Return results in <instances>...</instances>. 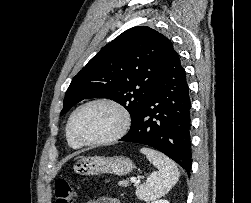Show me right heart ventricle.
Returning a JSON list of instances; mask_svg holds the SVG:
<instances>
[{
    "label": "right heart ventricle",
    "mask_w": 251,
    "mask_h": 203,
    "mask_svg": "<svg viewBox=\"0 0 251 203\" xmlns=\"http://www.w3.org/2000/svg\"><path fill=\"white\" fill-rule=\"evenodd\" d=\"M66 140L67 143L70 147L77 149L80 148L82 145L77 143L70 135L69 131H68V127H66Z\"/></svg>",
    "instance_id": "obj_1"
}]
</instances>
